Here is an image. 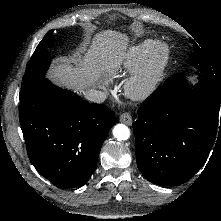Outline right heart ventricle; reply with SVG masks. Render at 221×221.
I'll return each instance as SVG.
<instances>
[{
  "instance_id": "right-heart-ventricle-1",
  "label": "right heart ventricle",
  "mask_w": 221,
  "mask_h": 221,
  "mask_svg": "<svg viewBox=\"0 0 221 221\" xmlns=\"http://www.w3.org/2000/svg\"><path fill=\"white\" fill-rule=\"evenodd\" d=\"M155 44V40L147 39L133 46L129 51L128 59L124 63V67L128 69L138 68L150 54Z\"/></svg>"
}]
</instances>
